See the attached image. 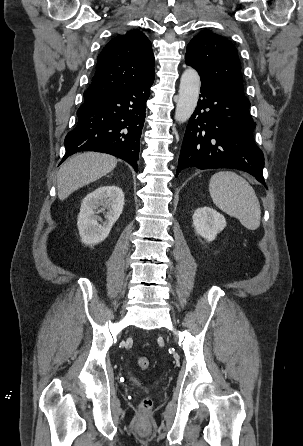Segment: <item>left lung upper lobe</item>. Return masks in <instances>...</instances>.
<instances>
[{
  "mask_svg": "<svg viewBox=\"0 0 303 446\" xmlns=\"http://www.w3.org/2000/svg\"><path fill=\"white\" fill-rule=\"evenodd\" d=\"M185 62L198 71L201 79L215 82L248 101L238 52L228 39L210 31L200 32L189 42Z\"/></svg>",
  "mask_w": 303,
  "mask_h": 446,
  "instance_id": "5c2ea615",
  "label": "left lung upper lobe"
}]
</instances>
